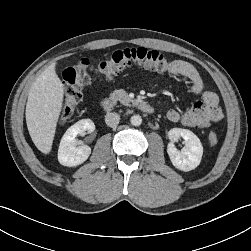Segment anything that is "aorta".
I'll use <instances>...</instances> for the list:
<instances>
[{
    "label": "aorta",
    "mask_w": 251,
    "mask_h": 251,
    "mask_svg": "<svg viewBox=\"0 0 251 251\" xmlns=\"http://www.w3.org/2000/svg\"><path fill=\"white\" fill-rule=\"evenodd\" d=\"M130 122L133 126H140L142 123V118L140 115H133L130 119Z\"/></svg>",
    "instance_id": "762f6f07"
}]
</instances>
